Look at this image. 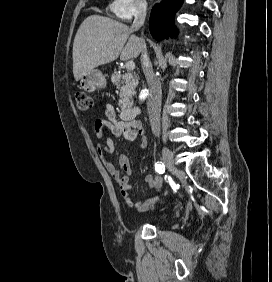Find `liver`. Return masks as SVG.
<instances>
[{
    "instance_id": "6515ba94",
    "label": "liver",
    "mask_w": 272,
    "mask_h": 282,
    "mask_svg": "<svg viewBox=\"0 0 272 282\" xmlns=\"http://www.w3.org/2000/svg\"><path fill=\"white\" fill-rule=\"evenodd\" d=\"M127 25L109 17L91 15L80 25L73 43V75L76 81L92 69L121 60L137 58L140 38Z\"/></svg>"
}]
</instances>
